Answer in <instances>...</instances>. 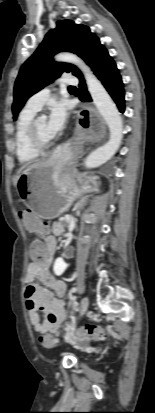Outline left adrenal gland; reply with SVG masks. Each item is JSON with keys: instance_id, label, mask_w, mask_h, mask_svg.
<instances>
[{"instance_id": "left-adrenal-gland-1", "label": "left adrenal gland", "mask_w": 155, "mask_h": 413, "mask_svg": "<svg viewBox=\"0 0 155 413\" xmlns=\"http://www.w3.org/2000/svg\"><path fill=\"white\" fill-rule=\"evenodd\" d=\"M82 206H83L82 202H79V203L76 204V208L82 207Z\"/></svg>"}]
</instances>
